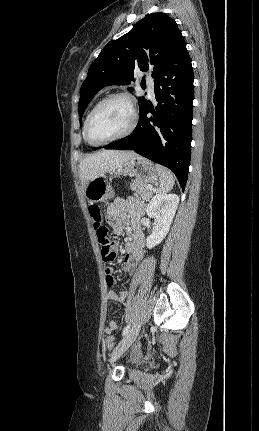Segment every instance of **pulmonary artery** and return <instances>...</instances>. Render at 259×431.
Segmentation results:
<instances>
[{"instance_id":"e3ab8cb5","label":"pulmonary artery","mask_w":259,"mask_h":431,"mask_svg":"<svg viewBox=\"0 0 259 431\" xmlns=\"http://www.w3.org/2000/svg\"><path fill=\"white\" fill-rule=\"evenodd\" d=\"M146 81L148 84L149 95L151 97H153L154 96V79L149 76V77H147Z\"/></svg>"}]
</instances>
